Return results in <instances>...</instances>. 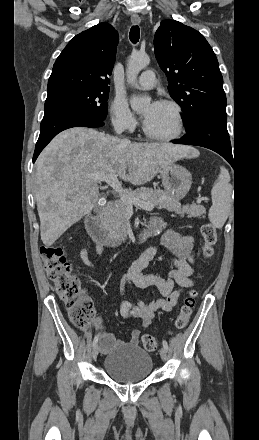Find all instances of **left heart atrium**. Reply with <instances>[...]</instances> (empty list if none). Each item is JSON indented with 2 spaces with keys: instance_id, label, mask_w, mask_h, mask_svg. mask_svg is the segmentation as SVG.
<instances>
[{
  "instance_id": "1",
  "label": "left heart atrium",
  "mask_w": 259,
  "mask_h": 440,
  "mask_svg": "<svg viewBox=\"0 0 259 440\" xmlns=\"http://www.w3.org/2000/svg\"><path fill=\"white\" fill-rule=\"evenodd\" d=\"M159 103L158 102H152L148 105L146 110L143 113V120L146 123L150 117L155 113Z\"/></svg>"
}]
</instances>
